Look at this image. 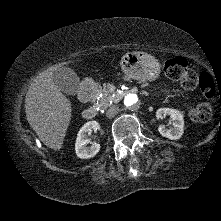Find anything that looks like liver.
I'll use <instances>...</instances> for the list:
<instances>
[{"instance_id": "obj_1", "label": "liver", "mask_w": 221, "mask_h": 221, "mask_svg": "<svg viewBox=\"0 0 221 221\" xmlns=\"http://www.w3.org/2000/svg\"><path fill=\"white\" fill-rule=\"evenodd\" d=\"M67 63H73L69 61ZM67 63L49 67L31 83L25 98L27 120L40 141L60 150L71 121V102L53 82L54 72Z\"/></svg>"}]
</instances>
